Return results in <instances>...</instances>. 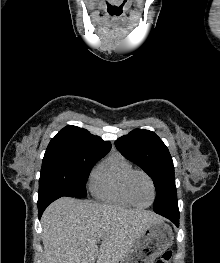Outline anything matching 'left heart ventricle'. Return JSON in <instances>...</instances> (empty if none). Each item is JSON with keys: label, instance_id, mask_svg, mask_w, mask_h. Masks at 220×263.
Returning a JSON list of instances; mask_svg holds the SVG:
<instances>
[{"label": "left heart ventricle", "instance_id": "b2bd125f", "mask_svg": "<svg viewBox=\"0 0 220 263\" xmlns=\"http://www.w3.org/2000/svg\"><path fill=\"white\" fill-rule=\"evenodd\" d=\"M132 194L135 201L140 205L148 204L152 199V189L148 180L138 175L132 182Z\"/></svg>", "mask_w": 220, "mask_h": 263}]
</instances>
